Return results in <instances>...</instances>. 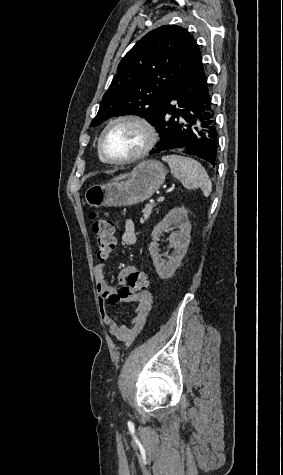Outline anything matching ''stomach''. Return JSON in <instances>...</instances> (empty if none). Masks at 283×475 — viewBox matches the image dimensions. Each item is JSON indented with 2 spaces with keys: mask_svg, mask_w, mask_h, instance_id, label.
<instances>
[{
  "mask_svg": "<svg viewBox=\"0 0 283 475\" xmlns=\"http://www.w3.org/2000/svg\"><path fill=\"white\" fill-rule=\"evenodd\" d=\"M166 168L158 160H144L133 168L125 182L92 186L85 200L92 208L101 206H134L149 200L165 182Z\"/></svg>",
  "mask_w": 283,
  "mask_h": 475,
  "instance_id": "stomach-1",
  "label": "stomach"
}]
</instances>
